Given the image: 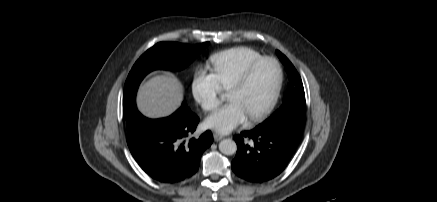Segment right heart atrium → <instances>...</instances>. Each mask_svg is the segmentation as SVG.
Segmentation results:
<instances>
[{"instance_id": "right-heart-atrium-1", "label": "right heart atrium", "mask_w": 437, "mask_h": 202, "mask_svg": "<svg viewBox=\"0 0 437 202\" xmlns=\"http://www.w3.org/2000/svg\"><path fill=\"white\" fill-rule=\"evenodd\" d=\"M222 91L223 88L213 72L202 66L196 68L191 82V93L203 110H215L220 104Z\"/></svg>"}]
</instances>
